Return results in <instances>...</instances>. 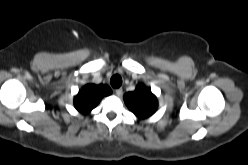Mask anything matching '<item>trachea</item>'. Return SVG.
I'll return each mask as SVG.
<instances>
[{"mask_svg": "<svg viewBox=\"0 0 248 165\" xmlns=\"http://www.w3.org/2000/svg\"><path fill=\"white\" fill-rule=\"evenodd\" d=\"M110 83L113 88H119L122 84V78L119 75L112 76Z\"/></svg>", "mask_w": 248, "mask_h": 165, "instance_id": "trachea-1", "label": "trachea"}]
</instances>
